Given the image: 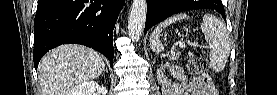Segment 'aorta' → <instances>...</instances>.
Here are the masks:
<instances>
[{"mask_svg":"<svg viewBox=\"0 0 277 95\" xmlns=\"http://www.w3.org/2000/svg\"><path fill=\"white\" fill-rule=\"evenodd\" d=\"M147 14L146 0H133L129 20L128 35L133 41H139L144 31Z\"/></svg>","mask_w":277,"mask_h":95,"instance_id":"1","label":"aorta"}]
</instances>
